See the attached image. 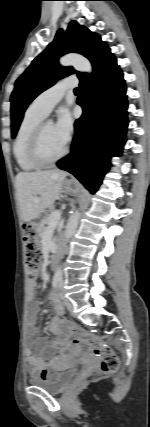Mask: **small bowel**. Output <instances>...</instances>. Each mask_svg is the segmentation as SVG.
<instances>
[{
    "label": "small bowel",
    "mask_w": 150,
    "mask_h": 427,
    "mask_svg": "<svg viewBox=\"0 0 150 427\" xmlns=\"http://www.w3.org/2000/svg\"><path fill=\"white\" fill-rule=\"evenodd\" d=\"M36 286L37 283L35 280L29 281V305L25 324L28 336V345L25 350V356L28 371L31 374H38L40 377L45 378L60 365L62 360L61 358L53 357L54 354L62 353L69 349L70 343L65 331H62L60 336L55 340H49L45 337H36L37 323L39 319V306L34 299ZM50 300L52 301L55 310L59 314H62L63 307L55 293L50 294ZM50 328L53 331H60L63 328V325L60 324L59 318H54L52 320ZM32 346H35V348L51 359L46 361L43 357L35 355L33 353Z\"/></svg>",
    "instance_id": "1"
}]
</instances>
